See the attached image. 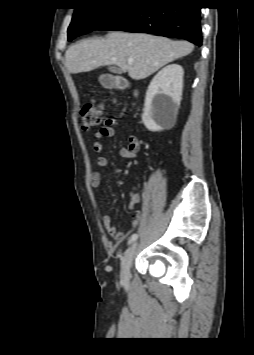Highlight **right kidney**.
Wrapping results in <instances>:
<instances>
[{"label":"right kidney","mask_w":254,"mask_h":355,"mask_svg":"<svg viewBox=\"0 0 254 355\" xmlns=\"http://www.w3.org/2000/svg\"><path fill=\"white\" fill-rule=\"evenodd\" d=\"M184 71L171 64L161 69L152 79L146 92L142 121L152 132L173 126L180 106Z\"/></svg>","instance_id":"ca27d5eb"}]
</instances>
